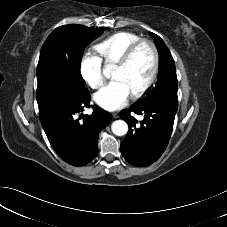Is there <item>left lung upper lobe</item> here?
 I'll use <instances>...</instances> for the list:
<instances>
[{
	"label": "left lung upper lobe",
	"mask_w": 227,
	"mask_h": 227,
	"mask_svg": "<svg viewBox=\"0 0 227 227\" xmlns=\"http://www.w3.org/2000/svg\"><path fill=\"white\" fill-rule=\"evenodd\" d=\"M153 37L159 53V76L149 94L137 105H144L148 102L161 100L178 106L177 99V75L174 59L165 45L164 41L156 34L150 33Z\"/></svg>",
	"instance_id": "obj_1"
}]
</instances>
